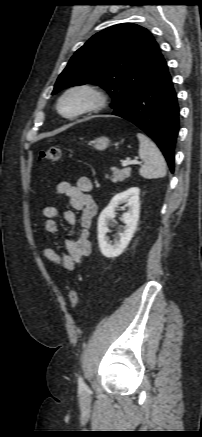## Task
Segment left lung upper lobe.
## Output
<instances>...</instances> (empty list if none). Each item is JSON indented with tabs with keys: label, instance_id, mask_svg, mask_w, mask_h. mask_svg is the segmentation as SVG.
I'll use <instances>...</instances> for the list:
<instances>
[{
	"label": "left lung upper lobe",
	"instance_id": "5c2ea615",
	"mask_svg": "<svg viewBox=\"0 0 202 437\" xmlns=\"http://www.w3.org/2000/svg\"><path fill=\"white\" fill-rule=\"evenodd\" d=\"M151 33L136 24L111 26L92 36L71 57L52 94L86 83L101 86L115 109L152 80L165 66Z\"/></svg>",
	"mask_w": 202,
	"mask_h": 437
}]
</instances>
